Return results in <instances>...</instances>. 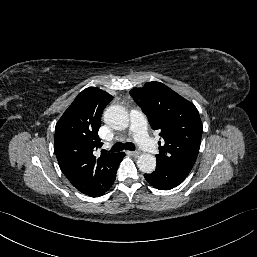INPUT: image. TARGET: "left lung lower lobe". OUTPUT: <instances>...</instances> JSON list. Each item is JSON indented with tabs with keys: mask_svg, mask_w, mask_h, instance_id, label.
<instances>
[{
	"mask_svg": "<svg viewBox=\"0 0 257 257\" xmlns=\"http://www.w3.org/2000/svg\"><path fill=\"white\" fill-rule=\"evenodd\" d=\"M144 177L153 187L162 190L172 189L186 178V176L160 164H157L153 173L144 174Z\"/></svg>",
	"mask_w": 257,
	"mask_h": 257,
	"instance_id": "left-lung-lower-lobe-1",
	"label": "left lung lower lobe"
}]
</instances>
